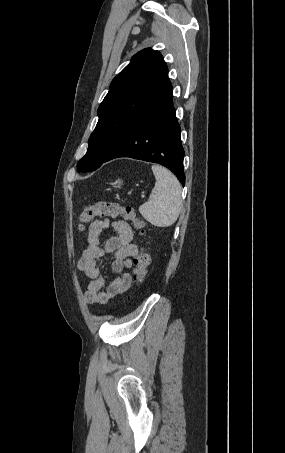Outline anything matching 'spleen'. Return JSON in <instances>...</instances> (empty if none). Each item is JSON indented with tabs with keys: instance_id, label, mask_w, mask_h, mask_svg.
Here are the masks:
<instances>
[{
	"instance_id": "1",
	"label": "spleen",
	"mask_w": 285,
	"mask_h": 453,
	"mask_svg": "<svg viewBox=\"0 0 285 453\" xmlns=\"http://www.w3.org/2000/svg\"><path fill=\"white\" fill-rule=\"evenodd\" d=\"M156 179L148 202L139 207L140 214L157 227L174 224L182 208L181 185L172 172L160 165H152Z\"/></svg>"
}]
</instances>
